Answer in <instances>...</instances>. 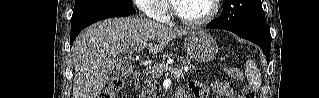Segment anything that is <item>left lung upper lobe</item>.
<instances>
[{
    "label": "left lung upper lobe",
    "instance_id": "obj_1",
    "mask_svg": "<svg viewBox=\"0 0 319 98\" xmlns=\"http://www.w3.org/2000/svg\"><path fill=\"white\" fill-rule=\"evenodd\" d=\"M221 29L268 28L261 0H223V12L210 22Z\"/></svg>",
    "mask_w": 319,
    "mask_h": 98
}]
</instances>
